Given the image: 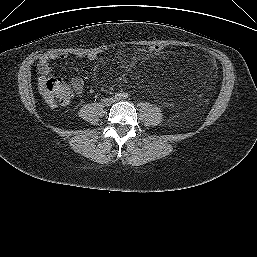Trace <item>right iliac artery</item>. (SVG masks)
Wrapping results in <instances>:
<instances>
[{"instance_id":"82829eb1","label":"right iliac artery","mask_w":257,"mask_h":257,"mask_svg":"<svg viewBox=\"0 0 257 257\" xmlns=\"http://www.w3.org/2000/svg\"><path fill=\"white\" fill-rule=\"evenodd\" d=\"M121 96H122V94H120V93H116V94H115V98H116V99H120Z\"/></svg>"}]
</instances>
